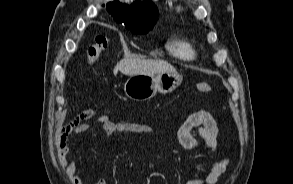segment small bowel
<instances>
[{
  "label": "small bowel",
  "instance_id": "1",
  "mask_svg": "<svg viewBox=\"0 0 293 184\" xmlns=\"http://www.w3.org/2000/svg\"><path fill=\"white\" fill-rule=\"evenodd\" d=\"M94 120L105 133L107 139H110L115 133H135L152 135V129L138 122H114L106 115H97L93 109L84 110L75 115L66 125H64L59 134V140L62 148L60 163L66 167L67 175L72 184H83L84 180L81 174L77 172L76 163L69 154L66 142L73 135L83 133L90 127L89 121ZM177 139L179 143L188 150H196L200 147L201 141L211 150H218V125L213 116L206 110H197L190 112L177 130ZM228 165L227 158H221L215 162L208 172L201 174L185 184H216L219 178L226 171ZM93 184H107L104 179H99Z\"/></svg>",
  "mask_w": 293,
  "mask_h": 184
}]
</instances>
